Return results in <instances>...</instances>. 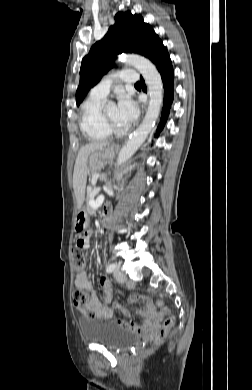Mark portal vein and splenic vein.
I'll list each match as a JSON object with an SVG mask.
<instances>
[{
	"mask_svg": "<svg viewBox=\"0 0 252 390\" xmlns=\"http://www.w3.org/2000/svg\"><path fill=\"white\" fill-rule=\"evenodd\" d=\"M99 191H100V188L94 189L95 194H97ZM103 199H104L103 195H100V196H98V198L96 200L91 199L89 201V203H90L92 208H98L102 204Z\"/></svg>",
	"mask_w": 252,
	"mask_h": 390,
	"instance_id": "1",
	"label": "portal vein and splenic vein"
}]
</instances>
